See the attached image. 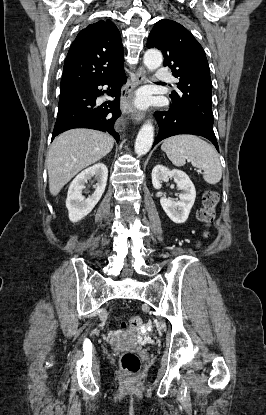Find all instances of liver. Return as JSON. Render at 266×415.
I'll use <instances>...</instances> for the list:
<instances>
[{"instance_id":"obj_1","label":"liver","mask_w":266,"mask_h":415,"mask_svg":"<svg viewBox=\"0 0 266 415\" xmlns=\"http://www.w3.org/2000/svg\"><path fill=\"white\" fill-rule=\"evenodd\" d=\"M113 145V137L91 129H72L56 137L46 159L50 193L56 196L78 172L105 157Z\"/></svg>"}]
</instances>
